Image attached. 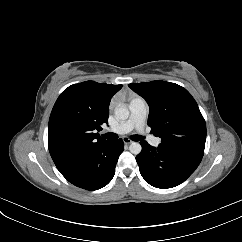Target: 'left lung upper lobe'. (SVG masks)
<instances>
[{
    "instance_id": "5c2ea615",
    "label": "left lung upper lobe",
    "mask_w": 242,
    "mask_h": 242,
    "mask_svg": "<svg viewBox=\"0 0 242 242\" xmlns=\"http://www.w3.org/2000/svg\"><path fill=\"white\" fill-rule=\"evenodd\" d=\"M149 105L148 125L161 140L160 146L203 157L206 124L191 94L166 81L128 85Z\"/></svg>"
}]
</instances>
